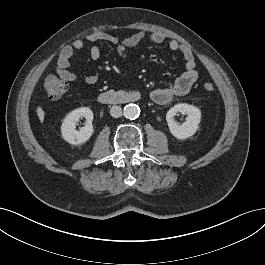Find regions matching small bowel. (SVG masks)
Returning a JSON list of instances; mask_svg holds the SVG:
<instances>
[{"mask_svg":"<svg viewBox=\"0 0 265 265\" xmlns=\"http://www.w3.org/2000/svg\"><path fill=\"white\" fill-rule=\"evenodd\" d=\"M145 39L156 44H162L167 40L163 33L155 32L148 35L143 30L132 34L124 40H120L117 36L104 31L94 32L86 36V40L93 43L89 50L90 58L93 61H98L101 57V50L96 44L97 42H107L117 45L118 56L125 59L128 56V51L139 45ZM167 45L171 51L178 52L182 55L185 71L174 82L157 87L151 92V99L158 105L169 104L176 97L187 94L199 77L192 50L187 45L181 44L174 39L169 40ZM83 47L84 42L80 39L73 41L71 45L65 46L60 52L56 65V73L66 81H78L86 85H92L98 81V73L79 76L71 70V60L75 52L83 49Z\"/></svg>","mask_w":265,"mask_h":265,"instance_id":"1","label":"small bowel"}]
</instances>
